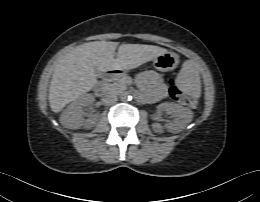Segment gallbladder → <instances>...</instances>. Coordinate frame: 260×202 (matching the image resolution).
I'll return each instance as SVG.
<instances>
[{"instance_id":"1","label":"gallbladder","mask_w":260,"mask_h":202,"mask_svg":"<svg viewBox=\"0 0 260 202\" xmlns=\"http://www.w3.org/2000/svg\"><path fill=\"white\" fill-rule=\"evenodd\" d=\"M95 72H96V75H97V76H101V75H102V73H101L99 70H97V69H96Z\"/></svg>"}]
</instances>
